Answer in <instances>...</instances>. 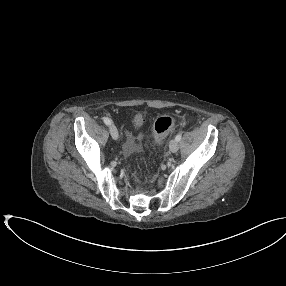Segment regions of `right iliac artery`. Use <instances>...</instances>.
Here are the masks:
<instances>
[{"mask_svg":"<svg viewBox=\"0 0 286 286\" xmlns=\"http://www.w3.org/2000/svg\"><path fill=\"white\" fill-rule=\"evenodd\" d=\"M102 119L106 125H111L112 123L111 119H109L108 117H103Z\"/></svg>","mask_w":286,"mask_h":286,"instance_id":"obj_1","label":"right iliac artery"}]
</instances>
